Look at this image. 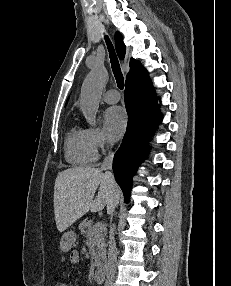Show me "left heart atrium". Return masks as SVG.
I'll use <instances>...</instances> for the list:
<instances>
[{
  "label": "left heart atrium",
  "mask_w": 231,
  "mask_h": 286,
  "mask_svg": "<svg viewBox=\"0 0 231 286\" xmlns=\"http://www.w3.org/2000/svg\"><path fill=\"white\" fill-rule=\"evenodd\" d=\"M104 126L111 139H119L127 126V115L125 110L119 106L108 108L104 114Z\"/></svg>",
  "instance_id": "1"
}]
</instances>
